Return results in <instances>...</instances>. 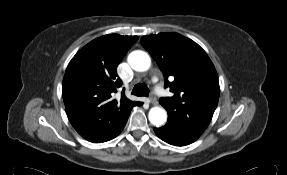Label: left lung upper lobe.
<instances>
[{"label": "left lung upper lobe", "instance_id": "1", "mask_svg": "<svg viewBox=\"0 0 287 175\" xmlns=\"http://www.w3.org/2000/svg\"><path fill=\"white\" fill-rule=\"evenodd\" d=\"M141 44L157 62L165 87L173 93L159 100L168 112V123L199 138L212 119L220 95L212 61L198 44L177 33L143 36Z\"/></svg>", "mask_w": 287, "mask_h": 175}]
</instances>
